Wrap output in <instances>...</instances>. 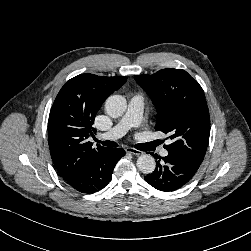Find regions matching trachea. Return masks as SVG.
<instances>
[{"label":"trachea","mask_w":251,"mask_h":251,"mask_svg":"<svg viewBox=\"0 0 251 251\" xmlns=\"http://www.w3.org/2000/svg\"><path fill=\"white\" fill-rule=\"evenodd\" d=\"M97 143H101L102 145L104 146H107V147H118V144L114 141H99V140H96ZM139 149V148H138ZM139 150H142V149H139Z\"/></svg>","instance_id":"3493384b"}]
</instances>
